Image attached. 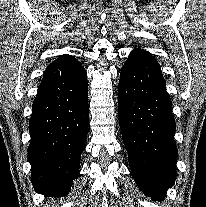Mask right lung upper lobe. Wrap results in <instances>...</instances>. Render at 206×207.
Wrapping results in <instances>:
<instances>
[{
    "label": "right lung upper lobe",
    "instance_id": "right-lung-upper-lobe-1",
    "mask_svg": "<svg viewBox=\"0 0 206 207\" xmlns=\"http://www.w3.org/2000/svg\"><path fill=\"white\" fill-rule=\"evenodd\" d=\"M67 56H69V55H63V56H61L60 58H58L57 60H60V59H62V58H64V57H67ZM57 60H55V61H57ZM54 61V62H55Z\"/></svg>",
    "mask_w": 206,
    "mask_h": 207
}]
</instances>
